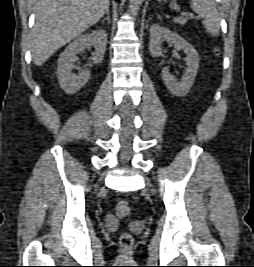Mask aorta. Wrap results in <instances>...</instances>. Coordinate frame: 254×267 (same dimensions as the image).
Returning a JSON list of instances; mask_svg holds the SVG:
<instances>
[{
	"mask_svg": "<svg viewBox=\"0 0 254 267\" xmlns=\"http://www.w3.org/2000/svg\"><path fill=\"white\" fill-rule=\"evenodd\" d=\"M143 0H129V11L132 16H137Z\"/></svg>",
	"mask_w": 254,
	"mask_h": 267,
	"instance_id": "762f6f07",
	"label": "aorta"
}]
</instances>
